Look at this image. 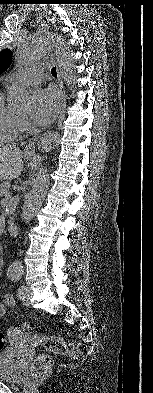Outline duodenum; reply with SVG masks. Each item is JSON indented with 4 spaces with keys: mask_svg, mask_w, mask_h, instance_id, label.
I'll use <instances>...</instances> for the list:
<instances>
[{
    "mask_svg": "<svg viewBox=\"0 0 153 393\" xmlns=\"http://www.w3.org/2000/svg\"><path fill=\"white\" fill-rule=\"evenodd\" d=\"M7 229H8V232H9L10 235L15 236L17 234V232H18L17 223H10L7 226Z\"/></svg>",
    "mask_w": 153,
    "mask_h": 393,
    "instance_id": "duodenum-1",
    "label": "duodenum"
}]
</instances>
